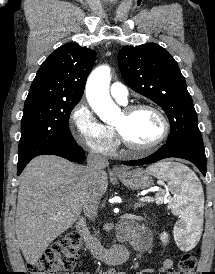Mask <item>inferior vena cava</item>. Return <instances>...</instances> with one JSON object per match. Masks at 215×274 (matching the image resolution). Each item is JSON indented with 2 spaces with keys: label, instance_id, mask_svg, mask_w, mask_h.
Returning <instances> with one entry per match:
<instances>
[{
  "label": "inferior vena cava",
  "instance_id": "obj_1",
  "mask_svg": "<svg viewBox=\"0 0 215 274\" xmlns=\"http://www.w3.org/2000/svg\"><path fill=\"white\" fill-rule=\"evenodd\" d=\"M108 165L107 158L100 154L89 153L87 156L86 170L88 173L89 193L83 209L85 215L91 220H95L98 214V206L101 200L100 178Z\"/></svg>",
  "mask_w": 215,
  "mask_h": 274
}]
</instances>
